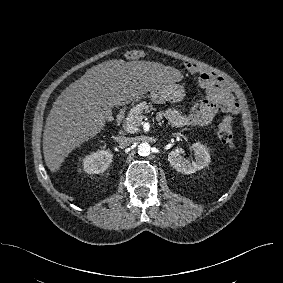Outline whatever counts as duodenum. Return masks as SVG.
I'll use <instances>...</instances> for the list:
<instances>
[{"instance_id": "1", "label": "duodenum", "mask_w": 283, "mask_h": 283, "mask_svg": "<svg viewBox=\"0 0 283 283\" xmlns=\"http://www.w3.org/2000/svg\"><path fill=\"white\" fill-rule=\"evenodd\" d=\"M124 115H125V109H120L116 114V121L120 122L124 118Z\"/></svg>"}]
</instances>
